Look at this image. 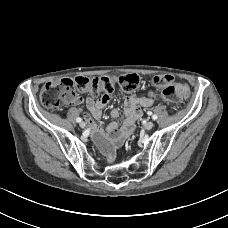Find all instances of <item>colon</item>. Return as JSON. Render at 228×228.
<instances>
[{"instance_id":"obj_1","label":"colon","mask_w":228,"mask_h":228,"mask_svg":"<svg viewBox=\"0 0 228 228\" xmlns=\"http://www.w3.org/2000/svg\"><path fill=\"white\" fill-rule=\"evenodd\" d=\"M153 83L162 90L163 98L169 102H179L189 94L188 86L174 82L170 75H157ZM117 85L127 93L133 92L139 86V77L136 74L91 78L79 76L50 81L41 89L40 102L47 109H55L76 103L79 100L77 92L89 93L96 97L101 93H111Z\"/></svg>"}]
</instances>
